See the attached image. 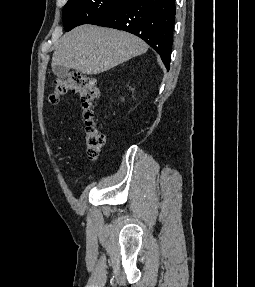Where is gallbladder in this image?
Listing matches in <instances>:
<instances>
[{
  "mask_svg": "<svg viewBox=\"0 0 255 287\" xmlns=\"http://www.w3.org/2000/svg\"><path fill=\"white\" fill-rule=\"evenodd\" d=\"M52 70L55 76L61 80H65L69 74V68H65V66H53Z\"/></svg>",
  "mask_w": 255,
  "mask_h": 287,
  "instance_id": "obj_1",
  "label": "gallbladder"
}]
</instances>
